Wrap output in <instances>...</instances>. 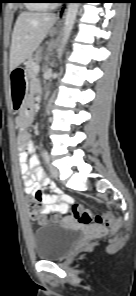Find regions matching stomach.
Segmentation results:
<instances>
[{
	"mask_svg": "<svg viewBox=\"0 0 136 296\" xmlns=\"http://www.w3.org/2000/svg\"><path fill=\"white\" fill-rule=\"evenodd\" d=\"M12 84H26L27 69L15 68L12 70ZM13 98V111H21L25 101H30V96L25 93L28 85H11Z\"/></svg>",
	"mask_w": 136,
	"mask_h": 296,
	"instance_id": "1",
	"label": "stomach"
}]
</instances>
